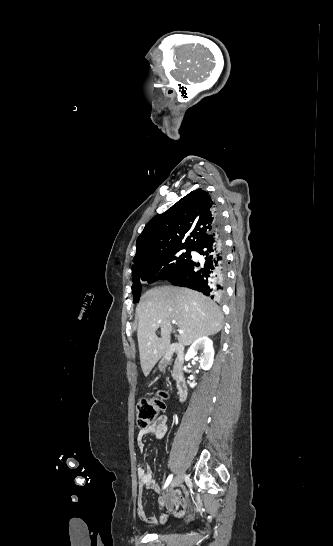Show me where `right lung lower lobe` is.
I'll use <instances>...</instances> for the list:
<instances>
[{
	"instance_id": "98d812e1",
	"label": "right lung lower lobe",
	"mask_w": 333,
	"mask_h": 546,
	"mask_svg": "<svg viewBox=\"0 0 333 546\" xmlns=\"http://www.w3.org/2000/svg\"><path fill=\"white\" fill-rule=\"evenodd\" d=\"M193 251L204 256L201 263L191 258L167 280L176 286L202 292L212 299L219 298L225 290L227 261L224 238L218 225L205 238L197 242Z\"/></svg>"
}]
</instances>
